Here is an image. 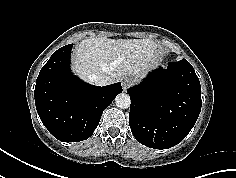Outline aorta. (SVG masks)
I'll return each instance as SVG.
<instances>
[{
  "label": "aorta",
  "instance_id": "1",
  "mask_svg": "<svg viewBox=\"0 0 236 178\" xmlns=\"http://www.w3.org/2000/svg\"><path fill=\"white\" fill-rule=\"evenodd\" d=\"M115 104L120 109H126L130 107L131 99L130 96L126 93H120L115 98Z\"/></svg>",
  "mask_w": 236,
  "mask_h": 178
}]
</instances>
